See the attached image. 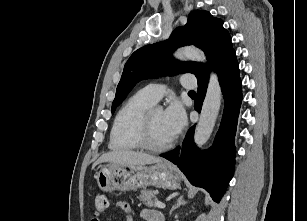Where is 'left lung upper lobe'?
Masks as SVG:
<instances>
[{
	"instance_id": "5c2ea615",
	"label": "left lung upper lobe",
	"mask_w": 307,
	"mask_h": 221,
	"mask_svg": "<svg viewBox=\"0 0 307 221\" xmlns=\"http://www.w3.org/2000/svg\"><path fill=\"white\" fill-rule=\"evenodd\" d=\"M202 49L210 66L197 62H179L171 53L180 46L191 45ZM235 52L229 32L223 21L214 18L208 11L195 10L189 14L187 24L176 28L167 41L144 46L136 50L125 64L121 80L116 89L112 113L125 99L132 88L142 79L176 73H193L197 80L209 77L210 68L219 66Z\"/></svg>"
}]
</instances>
